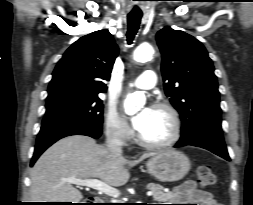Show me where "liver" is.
Masks as SVG:
<instances>
[{
  "mask_svg": "<svg viewBox=\"0 0 253 205\" xmlns=\"http://www.w3.org/2000/svg\"><path fill=\"white\" fill-rule=\"evenodd\" d=\"M154 155L144 153L139 159L128 161L122 154L112 153L91 137H65L48 148L33 166L31 200L79 203L83 198L81 192L65 179L98 178L107 185L119 187L130 178L126 165L133 167Z\"/></svg>",
  "mask_w": 253,
  "mask_h": 205,
  "instance_id": "1",
  "label": "liver"
}]
</instances>
